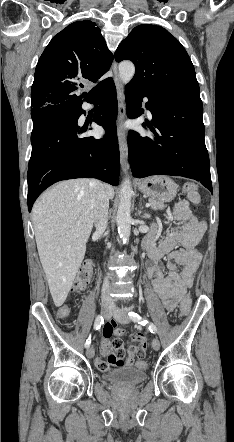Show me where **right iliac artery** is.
<instances>
[{
    "instance_id": "obj_1",
    "label": "right iliac artery",
    "mask_w": 234,
    "mask_h": 442,
    "mask_svg": "<svg viewBox=\"0 0 234 442\" xmlns=\"http://www.w3.org/2000/svg\"><path fill=\"white\" fill-rule=\"evenodd\" d=\"M103 323H104V319H103V317L100 316V315H98V316L96 317L95 322H94V329H95V330H98V329L101 327V325H102ZM90 343H91V337H89V338L86 340L85 347L88 348V347L90 346Z\"/></svg>"
}]
</instances>
